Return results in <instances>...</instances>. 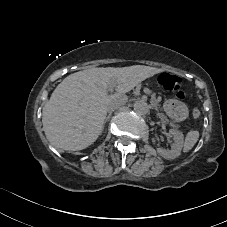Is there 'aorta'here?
<instances>
[{"label": "aorta", "mask_w": 227, "mask_h": 227, "mask_svg": "<svg viewBox=\"0 0 227 227\" xmlns=\"http://www.w3.org/2000/svg\"><path fill=\"white\" fill-rule=\"evenodd\" d=\"M133 110L139 115H145L149 111V105L144 100H137L133 103Z\"/></svg>", "instance_id": "obj_1"}]
</instances>
